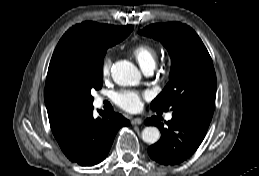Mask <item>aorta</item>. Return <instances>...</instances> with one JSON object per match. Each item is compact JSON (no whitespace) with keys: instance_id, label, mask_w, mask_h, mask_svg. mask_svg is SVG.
Masks as SVG:
<instances>
[{"instance_id":"aorta-1","label":"aorta","mask_w":259,"mask_h":176,"mask_svg":"<svg viewBox=\"0 0 259 176\" xmlns=\"http://www.w3.org/2000/svg\"><path fill=\"white\" fill-rule=\"evenodd\" d=\"M113 80L123 86L133 85L140 79L137 67L126 60L117 61L111 68ZM160 139V131L157 127L148 126L142 131V140L148 144H154Z\"/></svg>"}]
</instances>
